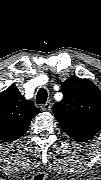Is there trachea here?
<instances>
[{"instance_id":"trachea-1","label":"trachea","mask_w":101,"mask_h":180,"mask_svg":"<svg viewBox=\"0 0 101 180\" xmlns=\"http://www.w3.org/2000/svg\"><path fill=\"white\" fill-rule=\"evenodd\" d=\"M47 97H48L47 90L44 88H40L36 97L37 104H45V102L47 101Z\"/></svg>"}]
</instances>
